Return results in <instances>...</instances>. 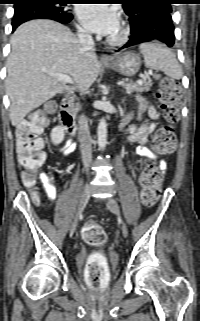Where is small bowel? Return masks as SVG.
<instances>
[{"mask_svg":"<svg viewBox=\"0 0 200 321\" xmlns=\"http://www.w3.org/2000/svg\"><path fill=\"white\" fill-rule=\"evenodd\" d=\"M147 113L148 120H143L144 114ZM135 119L136 123H132ZM158 119V112L156 108L149 105L143 98H138V106L136 112L129 111L122 119L123 131L127 134L128 141L137 143L136 152L148 159H156V154L145 146L148 136L155 129V120ZM75 149L74 144L67 142L62 148L63 156H69ZM159 167L165 170L167 165L164 160H160ZM40 180L43 184L44 190L49 200L53 201L56 198L55 178L52 173H43L40 175Z\"/></svg>","mask_w":200,"mask_h":321,"instance_id":"c3829d8e","label":"small bowel"}]
</instances>
